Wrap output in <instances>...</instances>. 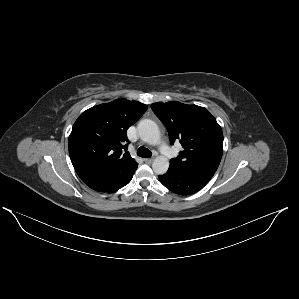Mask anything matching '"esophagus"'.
Returning <instances> with one entry per match:
<instances>
[{
	"mask_svg": "<svg viewBox=\"0 0 299 299\" xmlns=\"http://www.w3.org/2000/svg\"><path fill=\"white\" fill-rule=\"evenodd\" d=\"M145 163L146 164H151L153 162V159L150 158V159H144Z\"/></svg>",
	"mask_w": 299,
	"mask_h": 299,
	"instance_id": "obj_1",
	"label": "esophagus"
}]
</instances>
